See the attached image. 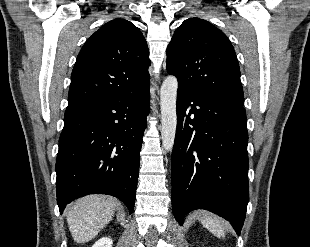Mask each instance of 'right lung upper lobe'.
Instances as JSON below:
<instances>
[{
	"instance_id": "cb5924a9",
	"label": "right lung upper lobe",
	"mask_w": 310,
	"mask_h": 247,
	"mask_svg": "<svg viewBox=\"0 0 310 247\" xmlns=\"http://www.w3.org/2000/svg\"><path fill=\"white\" fill-rule=\"evenodd\" d=\"M149 52L125 19L104 24L84 44L71 74L68 105L125 96L149 86Z\"/></svg>"
}]
</instances>
